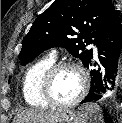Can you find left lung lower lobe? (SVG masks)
Instances as JSON below:
<instances>
[{"label": "left lung lower lobe", "mask_w": 122, "mask_h": 123, "mask_svg": "<svg viewBox=\"0 0 122 123\" xmlns=\"http://www.w3.org/2000/svg\"><path fill=\"white\" fill-rule=\"evenodd\" d=\"M96 45L100 66L90 71L92 76L91 88L82 103L113 99L120 89L122 79V25L118 16L111 20ZM90 66H92L91 60L86 67Z\"/></svg>", "instance_id": "1"}]
</instances>
